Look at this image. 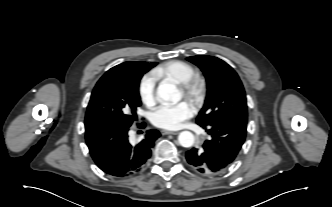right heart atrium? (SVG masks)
<instances>
[{"label": "right heart atrium", "mask_w": 332, "mask_h": 207, "mask_svg": "<svg viewBox=\"0 0 332 207\" xmlns=\"http://www.w3.org/2000/svg\"><path fill=\"white\" fill-rule=\"evenodd\" d=\"M138 93L141 101L146 106H153L156 102V78L152 74L142 77L138 86Z\"/></svg>", "instance_id": "1"}]
</instances>
